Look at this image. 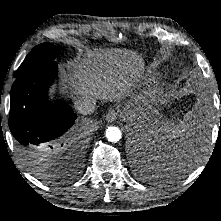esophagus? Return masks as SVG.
Listing matches in <instances>:
<instances>
[{
	"mask_svg": "<svg viewBox=\"0 0 221 221\" xmlns=\"http://www.w3.org/2000/svg\"><path fill=\"white\" fill-rule=\"evenodd\" d=\"M118 116V112L115 110H110L107 114H106V120L109 123L114 122L117 119Z\"/></svg>",
	"mask_w": 221,
	"mask_h": 221,
	"instance_id": "obj_1",
	"label": "esophagus"
}]
</instances>
